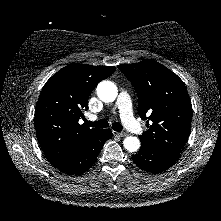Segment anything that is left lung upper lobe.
I'll return each mask as SVG.
<instances>
[{"label": "left lung upper lobe", "instance_id": "1", "mask_svg": "<svg viewBox=\"0 0 221 221\" xmlns=\"http://www.w3.org/2000/svg\"><path fill=\"white\" fill-rule=\"evenodd\" d=\"M118 68L135 88L139 115L148 123L149 130L139 136L141 143L181 153L192 119V105L183 81L154 60Z\"/></svg>", "mask_w": 221, "mask_h": 221}]
</instances>
